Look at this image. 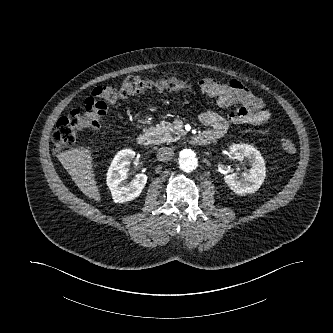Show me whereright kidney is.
<instances>
[{"mask_svg": "<svg viewBox=\"0 0 333 333\" xmlns=\"http://www.w3.org/2000/svg\"><path fill=\"white\" fill-rule=\"evenodd\" d=\"M135 157L132 149H123L112 160L107 172V186L116 203H125L137 198L147 183V175L137 174L132 182H126L130 160Z\"/></svg>", "mask_w": 333, "mask_h": 333, "instance_id": "ca27d5eb", "label": "right kidney"}]
</instances>
